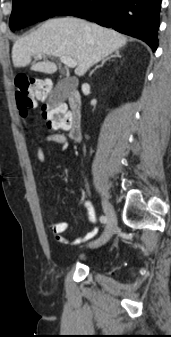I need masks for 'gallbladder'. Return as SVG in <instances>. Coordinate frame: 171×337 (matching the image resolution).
I'll list each match as a JSON object with an SVG mask.
<instances>
[{
    "instance_id": "obj_1",
    "label": "gallbladder",
    "mask_w": 171,
    "mask_h": 337,
    "mask_svg": "<svg viewBox=\"0 0 171 337\" xmlns=\"http://www.w3.org/2000/svg\"><path fill=\"white\" fill-rule=\"evenodd\" d=\"M74 86L70 83L68 79H62L56 85L53 96L50 99V103H57L64 100L71 92Z\"/></svg>"
}]
</instances>
